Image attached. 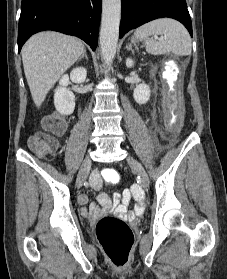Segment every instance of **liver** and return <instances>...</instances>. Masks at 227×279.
<instances>
[{
  "instance_id": "6515ba94",
  "label": "liver",
  "mask_w": 227,
  "mask_h": 279,
  "mask_svg": "<svg viewBox=\"0 0 227 279\" xmlns=\"http://www.w3.org/2000/svg\"><path fill=\"white\" fill-rule=\"evenodd\" d=\"M81 40L53 31L33 35L22 48L24 73L36 107L61 75L83 54Z\"/></svg>"
}]
</instances>
